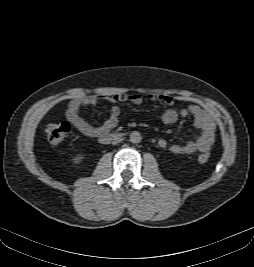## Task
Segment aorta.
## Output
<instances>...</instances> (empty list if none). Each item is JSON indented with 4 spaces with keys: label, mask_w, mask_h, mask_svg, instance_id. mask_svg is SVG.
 <instances>
[{
    "label": "aorta",
    "mask_w": 254,
    "mask_h": 267,
    "mask_svg": "<svg viewBox=\"0 0 254 267\" xmlns=\"http://www.w3.org/2000/svg\"><path fill=\"white\" fill-rule=\"evenodd\" d=\"M141 140H142V136L138 131H133L130 134V141L132 143L137 144V143L141 142Z\"/></svg>",
    "instance_id": "obj_1"
}]
</instances>
